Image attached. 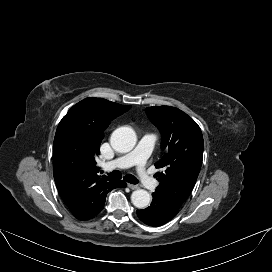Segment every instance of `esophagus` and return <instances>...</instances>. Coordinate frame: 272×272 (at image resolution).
Segmentation results:
<instances>
[{
    "mask_svg": "<svg viewBox=\"0 0 272 272\" xmlns=\"http://www.w3.org/2000/svg\"><path fill=\"white\" fill-rule=\"evenodd\" d=\"M128 187L132 190L138 189L139 186L138 185H134V184H128Z\"/></svg>",
    "mask_w": 272,
    "mask_h": 272,
    "instance_id": "34e87169",
    "label": "esophagus"
}]
</instances>
